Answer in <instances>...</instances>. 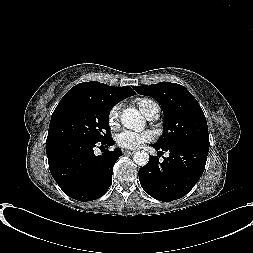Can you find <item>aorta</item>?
I'll return each instance as SVG.
<instances>
[{
    "instance_id": "obj_1",
    "label": "aorta",
    "mask_w": 253,
    "mask_h": 253,
    "mask_svg": "<svg viewBox=\"0 0 253 253\" xmlns=\"http://www.w3.org/2000/svg\"><path fill=\"white\" fill-rule=\"evenodd\" d=\"M121 124L127 129L140 131L145 126L144 118L138 110L127 108L120 115ZM149 154L145 151H137L133 156V161L139 166H145L149 162Z\"/></svg>"
}]
</instances>
